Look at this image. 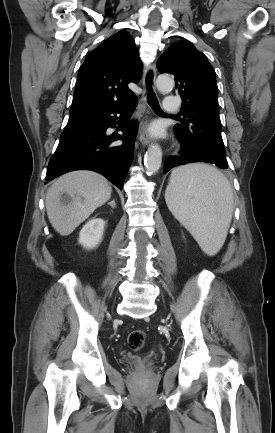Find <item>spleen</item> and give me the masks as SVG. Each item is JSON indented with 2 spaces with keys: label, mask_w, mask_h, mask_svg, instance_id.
I'll use <instances>...</instances> for the list:
<instances>
[{
  "label": "spleen",
  "mask_w": 275,
  "mask_h": 433,
  "mask_svg": "<svg viewBox=\"0 0 275 433\" xmlns=\"http://www.w3.org/2000/svg\"><path fill=\"white\" fill-rule=\"evenodd\" d=\"M165 200L206 254L213 256L221 249L234 204L231 185L223 173L200 163L178 167L171 173Z\"/></svg>",
  "instance_id": "obj_1"
}]
</instances>
